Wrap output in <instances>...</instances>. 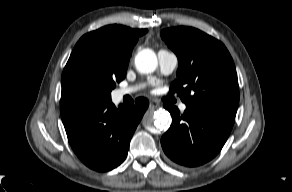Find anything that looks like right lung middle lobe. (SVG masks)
Masks as SVG:
<instances>
[{
  "mask_svg": "<svg viewBox=\"0 0 292 192\" xmlns=\"http://www.w3.org/2000/svg\"><path fill=\"white\" fill-rule=\"evenodd\" d=\"M125 76L92 51L74 47L62 74L61 101L109 102L110 92Z\"/></svg>",
  "mask_w": 292,
  "mask_h": 192,
  "instance_id": "1",
  "label": "right lung middle lobe"
}]
</instances>
